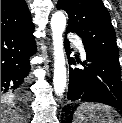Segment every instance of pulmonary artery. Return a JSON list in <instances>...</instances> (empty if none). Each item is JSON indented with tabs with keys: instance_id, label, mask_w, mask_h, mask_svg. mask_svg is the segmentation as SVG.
I'll return each mask as SVG.
<instances>
[{
	"instance_id": "obj_1",
	"label": "pulmonary artery",
	"mask_w": 122,
	"mask_h": 123,
	"mask_svg": "<svg viewBox=\"0 0 122 123\" xmlns=\"http://www.w3.org/2000/svg\"><path fill=\"white\" fill-rule=\"evenodd\" d=\"M69 38H70L73 42L76 43V45L78 46V49H79L81 55H82L83 57H85L84 46H83V44L81 43V41L79 40V38H78L77 36L73 35V34H71V35L69 36Z\"/></svg>"
}]
</instances>
